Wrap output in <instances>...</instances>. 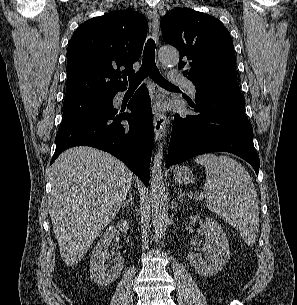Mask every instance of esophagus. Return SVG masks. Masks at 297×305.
<instances>
[{
    "label": "esophagus",
    "mask_w": 297,
    "mask_h": 305,
    "mask_svg": "<svg viewBox=\"0 0 297 305\" xmlns=\"http://www.w3.org/2000/svg\"><path fill=\"white\" fill-rule=\"evenodd\" d=\"M150 17L152 20L151 23V32L155 42L158 44L159 40V15L156 8H153L150 13ZM154 123V131H155V139L159 140L161 138V134L165 129L166 124V115L162 111H155L153 117Z\"/></svg>",
    "instance_id": "obj_1"
}]
</instances>
